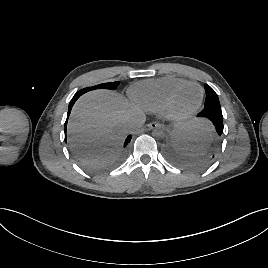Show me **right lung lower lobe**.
Returning a JSON list of instances; mask_svg holds the SVG:
<instances>
[{
    "label": "right lung lower lobe",
    "instance_id": "right-lung-lower-lobe-1",
    "mask_svg": "<svg viewBox=\"0 0 268 268\" xmlns=\"http://www.w3.org/2000/svg\"><path fill=\"white\" fill-rule=\"evenodd\" d=\"M80 96H81V93L77 92V93L74 95L73 99L71 100V102H70V104H69V107H68L67 118H68L69 115H70L72 106L74 105L75 101H76ZM66 126H67V120H66V122H65V133H66ZM130 140H131V135H129V136L126 138V140H125V142H124V145H123L124 148L129 144ZM65 141H66V138H65Z\"/></svg>",
    "mask_w": 268,
    "mask_h": 268
}]
</instances>
